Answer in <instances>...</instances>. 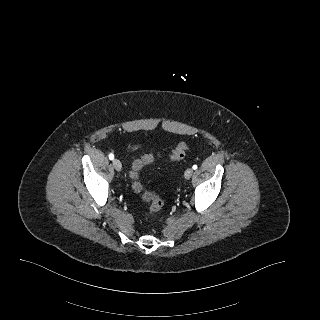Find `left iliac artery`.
<instances>
[{
  "instance_id": "1",
  "label": "left iliac artery",
  "mask_w": 320,
  "mask_h": 320,
  "mask_svg": "<svg viewBox=\"0 0 320 320\" xmlns=\"http://www.w3.org/2000/svg\"><path fill=\"white\" fill-rule=\"evenodd\" d=\"M193 169L196 170L197 169V165H193Z\"/></svg>"
}]
</instances>
